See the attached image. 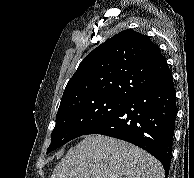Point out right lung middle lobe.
<instances>
[{
	"instance_id": "obj_1",
	"label": "right lung middle lobe",
	"mask_w": 194,
	"mask_h": 178,
	"mask_svg": "<svg viewBox=\"0 0 194 178\" xmlns=\"http://www.w3.org/2000/svg\"><path fill=\"white\" fill-rule=\"evenodd\" d=\"M128 99L117 97H91L69 102L58 109L56 125L52 131L47 153L70 140L84 135L104 120Z\"/></svg>"
}]
</instances>
